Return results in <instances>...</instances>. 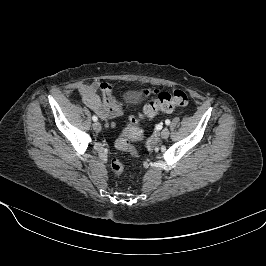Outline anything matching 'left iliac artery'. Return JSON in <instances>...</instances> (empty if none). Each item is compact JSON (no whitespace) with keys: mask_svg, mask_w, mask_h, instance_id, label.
Returning a JSON list of instances; mask_svg holds the SVG:
<instances>
[{"mask_svg":"<svg viewBox=\"0 0 266 266\" xmlns=\"http://www.w3.org/2000/svg\"><path fill=\"white\" fill-rule=\"evenodd\" d=\"M165 124H166V125H169V124H170V120L167 119V120L165 121Z\"/></svg>","mask_w":266,"mask_h":266,"instance_id":"44dca946","label":"left iliac artery"}]
</instances>
